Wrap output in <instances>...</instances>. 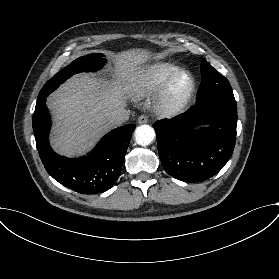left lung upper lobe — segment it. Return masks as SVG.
Segmentation results:
<instances>
[{"label": "left lung upper lobe", "instance_id": "left-lung-upper-lobe-1", "mask_svg": "<svg viewBox=\"0 0 279 279\" xmlns=\"http://www.w3.org/2000/svg\"><path fill=\"white\" fill-rule=\"evenodd\" d=\"M202 82L197 92L196 103L217 99L236 104L228 80L218 73L205 59L201 60Z\"/></svg>", "mask_w": 279, "mask_h": 279}]
</instances>
